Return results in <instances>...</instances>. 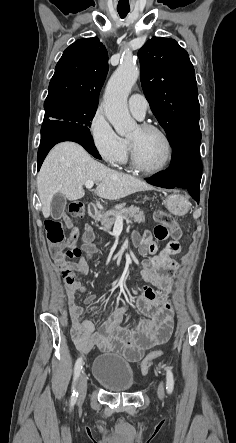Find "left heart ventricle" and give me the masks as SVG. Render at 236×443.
Returning <instances> with one entry per match:
<instances>
[{
	"mask_svg": "<svg viewBox=\"0 0 236 443\" xmlns=\"http://www.w3.org/2000/svg\"><path fill=\"white\" fill-rule=\"evenodd\" d=\"M134 143L143 166L155 169L162 166L167 158V145L163 137L154 131H142L139 126L129 135Z\"/></svg>",
	"mask_w": 236,
	"mask_h": 443,
	"instance_id": "left-heart-ventricle-1",
	"label": "left heart ventricle"
}]
</instances>
